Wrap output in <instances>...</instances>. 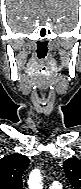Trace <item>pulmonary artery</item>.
Listing matches in <instances>:
<instances>
[{"mask_svg":"<svg viewBox=\"0 0 81 189\" xmlns=\"http://www.w3.org/2000/svg\"><path fill=\"white\" fill-rule=\"evenodd\" d=\"M49 188L52 189H61V184L57 181H52L49 185Z\"/></svg>","mask_w":81,"mask_h":189,"instance_id":"e3ab8cb5","label":"pulmonary artery"}]
</instances>
